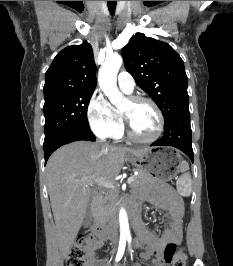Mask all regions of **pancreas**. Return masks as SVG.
<instances>
[{"mask_svg": "<svg viewBox=\"0 0 233 266\" xmlns=\"http://www.w3.org/2000/svg\"><path fill=\"white\" fill-rule=\"evenodd\" d=\"M153 181V178L151 175L145 172L139 171V174L137 176H134V181L131 183L132 188H137L139 186L151 183ZM117 197L118 193L117 190H108L104 196L100 199V202L98 204V209L100 212V215L107 217L111 215L117 206Z\"/></svg>", "mask_w": 233, "mask_h": 266, "instance_id": "obj_1", "label": "pancreas"}]
</instances>
